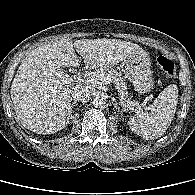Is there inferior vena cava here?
Segmentation results:
<instances>
[{"label": "inferior vena cava", "mask_w": 195, "mask_h": 195, "mask_svg": "<svg viewBox=\"0 0 195 195\" xmlns=\"http://www.w3.org/2000/svg\"><path fill=\"white\" fill-rule=\"evenodd\" d=\"M71 96L74 101L85 102L90 97V91L81 85H77L74 86Z\"/></svg>", "instance_id": "1"}]
</instances>
